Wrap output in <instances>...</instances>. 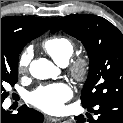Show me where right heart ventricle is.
Listing matches in <instances>:
<instances>
[{
    "label": "right heart ventricle",
    "instance_id": "1",
    "mask_svg": "<svg viewBox=\"0 0 123 123\" xmlns=\"http://www.w3.org/2000/svg\"><path fill=\"white\" fill-rule=\"evenodd\" d=\"M43 49L60 65L68 63L74 52V43L64 36H53L43 42Z\"/></svg>",
    "mask_w": 123,
    "mask_h": 123
}]
</instances>
